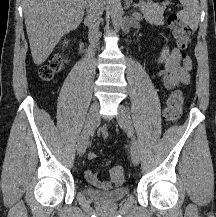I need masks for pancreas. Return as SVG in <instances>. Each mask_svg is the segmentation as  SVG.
I'll use <instances>...</instances> for the list:
<instances>
[{
  "instance_id": "cf45deb5",
  "label": "pancreas",
  "mask_w": 216,
  "mask_h": 217,
  "mask_svg": "<svg viewBox=\"0 0 216 217\" xmlns=\"http://www.w3.org/2000/svg\"><path fill=\"white\" fill-rule=\"evenodd\" d=\"M140 10L144 15L146 21H148L152 25L160 26L164 23L163 13L165 7L159 6L157 4L150 2H142L140 3Z\"/></svg>"
}]
</instances>
